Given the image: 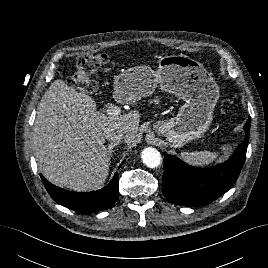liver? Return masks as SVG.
<instances>
[{
    "mask_svg": "<svg viewBox=\"0 0 268 268\" xmlns=\"http://www.w3.org/2000/svg\"><path fill=\"white\" fill-rule=\"evenodd\" d=\"M96 109L90 96L60 79L43 95L33 127V149L38 166L51 183L74 191L100 188L110 166L105 131L119 129L126 142L135 139L138 111L109 117Z\"/></svg>",
    "mask_w": 268,
    "mask_h": 268,
    "instance_id": "obj_1",
    "label": "liver"
}]
</instances>
